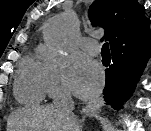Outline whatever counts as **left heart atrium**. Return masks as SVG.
<instances>
[{
	"instance_id": "obj_1",
	"label": "left heart atrium",
	"mask_w": 151,
	"mask_h": 131,
	"mask_svg": "<svg viewBox=\"0 0 151 131\" xmlns=\"http://www.w3.org/2000/svg\"><path fill=\"white\" fill-rule=\"evenodd\" d=\"M104 74L101 67L84 55L72 59L70 69V84L73 93L82 98L95 97L101 90Z\"/></svg>"
}]
</instances>
